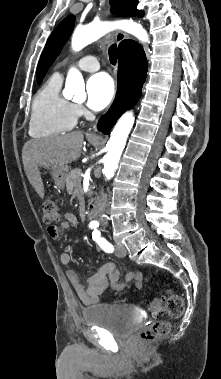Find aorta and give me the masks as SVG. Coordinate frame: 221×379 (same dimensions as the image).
<instances>
[{
    "label": "aorta",
    "instance_id": "762f6f07",
    "mask_svg": "<svg viewBox=\"0 0 221 379\" xmlns=\"http://www.w3.org/2000/svg\"><path fill=\"white\" fill-rule=\"evenodd\" d=\"M114 29H121L128 32L143 42L148 41L147 31L138 23L132 20H121L117 22L90 23L86 26L77 27L72 36L71 46L77 52L98 40ZM64 96L75 100L85 98V85L81 73L72 68L66 78ZM134 114L127 111L115 125L110 140L107 144V154L104 157L103 174L106 179L112 178L117 169L121 154L125 147L127 137L134 124Z\"/></svg>",
    "mask_w": 221,
    "mask_h": 379
}]
</instances>
